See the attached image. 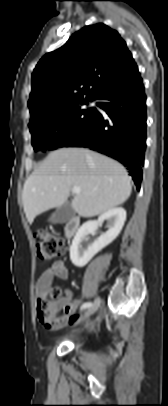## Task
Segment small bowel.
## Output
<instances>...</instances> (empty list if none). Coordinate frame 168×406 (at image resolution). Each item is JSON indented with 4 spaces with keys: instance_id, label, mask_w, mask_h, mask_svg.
<instances>
[{
    "instance_id": "small-bowel-1",
    "label": "small bowel",
    "mask_w": 168,
    "mask_h": 406,
    "mask_svg": "<svg viewBox=\"0 0 168 406\" xmlns=\"http://www.w3.org/2000/svg\"><path fill=\"white\" fill-rule=\"evenodd\" d=\"M68 275V270L63 261L54 262L50 268L42 273L36 283L37 299L40 300L48 294L55 276L65 280ZM55 305L57 308H63L64 313L57 318L56 323L45 325L46 329L50 331L57 330L68 322L70 315L78 305V301L73 300L72 293L66 290L64 296L55 301Z\"/></svg>"
}]
</instances>
